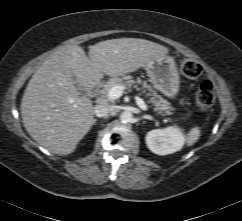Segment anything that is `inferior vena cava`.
I'll return each instance as SVG.
<instances>
[{"label":"inferior vena cava","instance_id":"obj_1","mask_svg":"<svg viewBox=\"0 0 242 221\" xmlns=\"http://www.w3.org/2000/svg\"><path fill=\"white\" fill-rule=\"evenodd\" d=\"M113 111V107L110 105L99 104L94 107V114L97 117H105L111 114Z\"/></svg>","mask_w":242,"mask_h":221}]
</instances>
